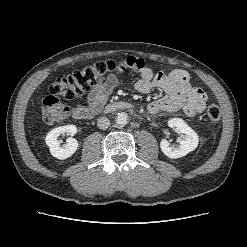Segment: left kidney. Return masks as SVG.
Masks as SVG:
<instances>
[{
    "label": "left kidney",
    "instance_id": "1",
    "mask_svg": "<svg viewBox=\"0 0 247 247\" xmlns=\"http://www.w3.org/2000/svg\"><path fill=\"white\" fill-rule=\"evenodd\" d=\"M168 126L176 128L182 134L184 139L179 140L178 145H171L166 139L160 142L161 151L171 159H177L187 155L198 146L197 133L187 125L182 119L173 118L168 121Z\"/></svg>",
    "mask_w": 247,
    "mask_h": 247
}]
</instances>
